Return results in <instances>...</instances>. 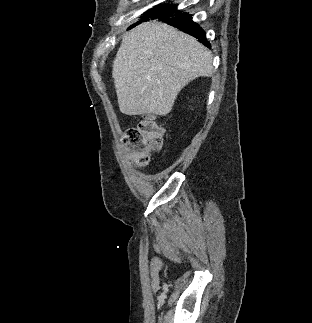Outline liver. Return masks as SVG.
Returning a JSON list of instances; mask_svg holds the SVG:
<instances>
[{
  "instance_id": "6515ba94",
  "label": "liver",
  "mask_w": 312,
  "mask_h": 323,
  "mask_svg": "<svg viewBox=\"0 0 312 323\" xmlns=\"http://www.w3.org/2000/svg\"><path fill=\"white\" fill-rule=\"evenodd\" d=\"M212 56L196 38L152 20L126 32L113 62L119 110L127 116L170 114L184 86L212 76Z\"/></svg>"
}]
</instances>
